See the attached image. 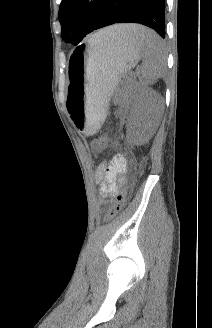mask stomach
<instances>
[{
  "mask_svg": "<svg viewBox=\"0 0 212 328\" xmlns=\"http://www.w3.org/2000/svg\"><path fill=\"white\" fill-rule=\"evenodd\" d=\"M141 57L134 40L91 41L70 56L67 109L76 128L94 133L101 125L109 93Z\"/></svg>",
  "mask_w": 212,
  "mask_h": 328,
  "instance_id": "1",
  "label": "stomach"
}]
</instances>
